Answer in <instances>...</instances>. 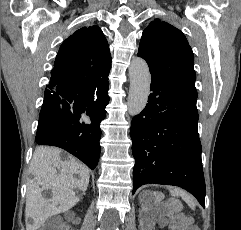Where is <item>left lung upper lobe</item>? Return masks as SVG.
Instances as JSON below:
<instances>
[{
	"label": "left lung upper lobe",
	"instance_id": "obj_1",
	"mask_svg": "<svg viewBox=\"0 0 241 230\" xmlns=\"http://www.w3.org/2000/svg\"><path fill=\"white\" fill-rule=\"evenodd\" d=\"M151 75L195 88L194 56L183 32L160 19L143 31L138 54Z\"/></svg>",
	"mask_w": 241,
	"mask_h": 230
}]
</instances>
